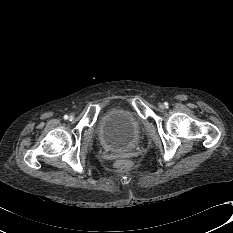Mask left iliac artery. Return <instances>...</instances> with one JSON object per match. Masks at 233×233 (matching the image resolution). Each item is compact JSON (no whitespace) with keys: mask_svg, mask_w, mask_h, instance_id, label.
<instances>
[{"mask_svg":"<svg viewBox=\"0 0 233 233\" xmlns=\"http://www.w3.org/2000/svg\"><path fill=\"white\" fill-rule=\"evenodd\" d=\"M164 104H165V106H168V103H167V102H165Z\"/></svg>","mask_w":233,"mask_h":233,"instance_id":"obj_1","label":"left iliac artery"}]
</instances>
